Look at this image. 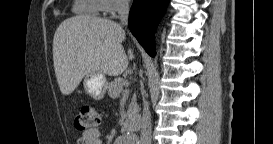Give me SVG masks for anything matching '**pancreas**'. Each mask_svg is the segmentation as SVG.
<instances>
[{
    "instance_id": "pancreas-1",
    "label": "pancreas",
    "mask_w": 273,
    "mask_h": 144,
    "mask_svg": "<svg viewBox=\"0 0 273 144\" xmlns=\"http://www.w3.org/2000/svg\"><path fill=\"white\" fill-rule=\"evenodd\" d=\"M128 85V81L123 78L114 79V81L107 84L109 96L112 98H117L120 96V93L126 95L127 91L123 90V86L128 87ZM137 111L138 106L136 104V98L133 97L131 103L129 104V110L127 112L128 117L131 118Z\"/></svg>"
}]
</instances>
